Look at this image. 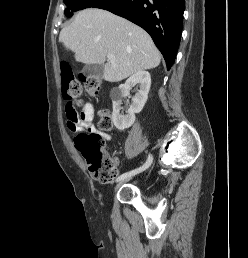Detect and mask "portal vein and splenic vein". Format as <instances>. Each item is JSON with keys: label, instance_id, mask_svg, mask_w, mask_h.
<instances>
[{"label": "portal vein and splenic vein", "instance_id": "1", "mask_svg": "<svg viewBox=\"0 0 248 258\" xmlns=\"http://www.w3.org/2000/svg\"><path fill=\"white\" fill-rule=\"evenodd\" d=\"M107 58H108V60L110 61V62H115V56L114 55H112V54H108L107 55Z\"/></svg>", "mask_w": 248, "mask_h": 258}]
</instances>
